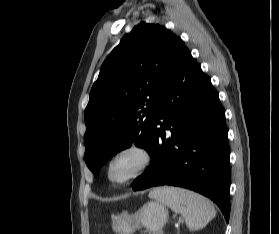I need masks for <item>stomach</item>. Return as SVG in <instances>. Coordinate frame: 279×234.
<instances>
[{
	"mask_svg": "<svg viewBox=\"0 0 279 234\" xmlns=\"http://www.w3.org/2000/svg\"><path fill=\"white\" fill-rule=\"evenodd\" d=\"M167 220L168 210L165 205L159 201H150L135 213L113 215L112 226L118 234H132L140 226L157 233Z\"/></svg>",
	"mask_w": 279,
	"mask_h": 234,
	"instance_id": "obj_1",
	"label": "stomach"
}]
</instances>
